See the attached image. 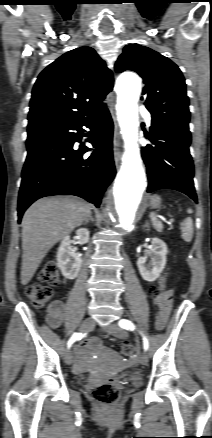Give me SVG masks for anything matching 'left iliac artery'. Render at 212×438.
<instances>
[{"label":"left iliac artery","instance_id":"1","mask_svg":"<svg viewBox=\"0 0 212 438\" xmlns=\"http://www.w3.org/2000/svg\"><path fill=\"white\" fill-rule=\"evenodd\" d=\"M118 324L121 328L126 329V330L133 331L135 329L134 324L131 321L126 320V319L120 320ZM143 348L145 351H147L149 348L148 339L144 335H143Z\"/></svg>","mask_w":212,"mask_h":438}]
</instances>
